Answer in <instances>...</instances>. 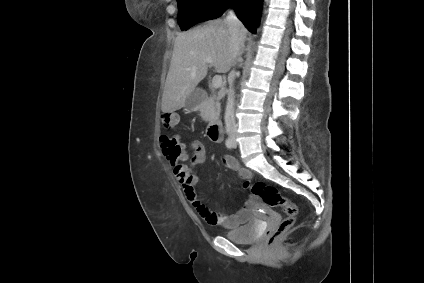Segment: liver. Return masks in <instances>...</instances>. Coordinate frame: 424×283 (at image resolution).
Instances as JSON below:
<instances>
[{"instance_id": "liver-1", "label": "liver", "mask_w": 424, "mask_h": 283, "mask_svg": "<svg viewBox=\"0 0 424 283\" xmlns=\"http://www.w3.org/2000/svg\"><path fill=\"white\" fill-rule=\"evenodd\" d=\"M209 65L217 73H226L233 65L231 34L223 19L208 21L176 37L162 96L163 113L186 105L188 96L207 75Z\"/></svg>"}]
</instances>
